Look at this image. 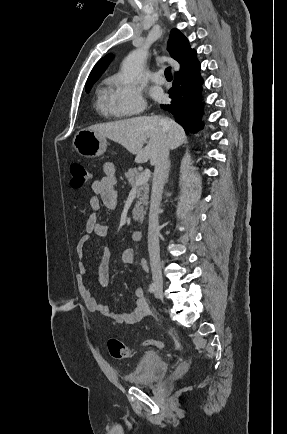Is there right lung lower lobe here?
Wrapping results in <instances>:
<instances>
[{
    "label": "right lung lower lobe",
    "instance_id": "obj_1",
    "mask_svg": "<svg viewBox=\"0 0 287 434\" xmlns=\"http://www.w3.org/2000/svg\"><path fill=\"white\" fill-rule=\"evenodd\" d=\"M200 63L195 56L182 66L174 76L173 88L169 91L172 99L169 104L161 107L171 112L175 121L186 132L196 133L203 128L201 116L203 115V103L201 102Z\"/></svg>",
    "mask_w": 287,
    "mask_h": 434
}]
</instances>
